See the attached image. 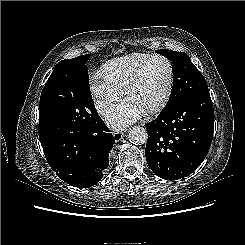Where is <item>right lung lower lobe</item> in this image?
<instances>
[{"instance_id":"obj_1","label":"right lung lower lobe","mask_w":245,"mask_h":245,"mask_svg":"<svg viewBox=\"0 0 245 245\" xmlns=\"http://www.w3.org/2000/svg\"><path fill=\"white\" fill-rule=\"evenodd\" d=\"M46 160L64 182L87 188L98 183L109 166L113 135L98 116L88 126L67 121H39Z\"/></svg>"}]
</instances>
